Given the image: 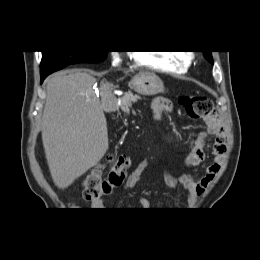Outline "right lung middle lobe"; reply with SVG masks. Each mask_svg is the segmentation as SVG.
<instances>
[{
	"label": "right lung middle lobe",
	"mask_w": 260,
	"mask_h": 260,
	"mask_svg": "<svg viewBox=\"0 0 260 260\" xmlns=\"http://www.w3.org/2000/svg\"><path fill=\"white\" fill-rule=\"evenodd\" d=\"M107 51H43L41 61V75L62 69L63 67L79 62L97 63L105 60Z\"/></svg>",
	"instance_id": "right-lung-middle-lobe-1"
}]
</instances>
